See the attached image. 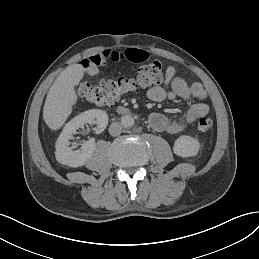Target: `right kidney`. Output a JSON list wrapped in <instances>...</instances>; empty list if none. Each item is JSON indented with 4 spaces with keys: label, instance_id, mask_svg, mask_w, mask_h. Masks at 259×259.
Masks as SVG:
<instances>
[{
    "label": "right kidney",
    "instance_id": "ca27d5eb",
    "mask_svg": "<svg viewBox=\"0 0 259 259\" xmlns=\"http://www.w3.org/2000/svg\"><path fill=\"white\" fill-rule=\"evenodd\" d=\"M86 123L96 124L97 127L94 131L96 134H100L105 130L108 124V115L103 110L91 109L70 120L64 126L63 131L56 141L55 155L58 162L70 167H79L83 166L87 160L91 158L95 150L94 138L83 142L80 150H73L76 143H73L72 147H69V140L72 138V135Z\"/></svg>",
    "mask_w": 259,
    "mask_h": 259
}]
</instances>
